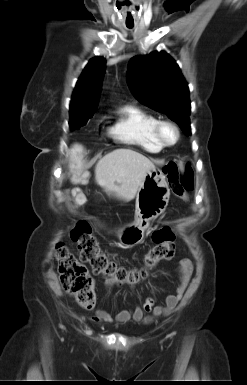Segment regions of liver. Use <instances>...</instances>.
<instances>
[{"mask_svg":"<svg viewBox=\"0 0 247 385\" xmlns=\"http://www.w3.org/2000/svg\"><path fill=\"white\" fill-rule=\"evenodd\" d=\"M70 170L73 184H87L90 173L83 170V147L73 145L69 152ZM154 164L144 155L131 149H116L101 158L95 167L96 183L109 195L126 202L131 201L137 194L147 172ZM77 205L86 202L85 195L80 189L72 191Z\"/></svg>","mask_w":247,"mask_h":385,"instance_id":"liver-1","label":"liver"}]
</instances>
